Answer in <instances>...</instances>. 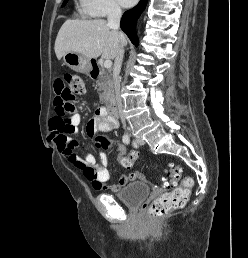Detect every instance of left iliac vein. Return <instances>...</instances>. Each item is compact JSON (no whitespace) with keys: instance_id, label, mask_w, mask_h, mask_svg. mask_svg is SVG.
I'll use <instances>...</instances> for the list:
<instances>
[{"instance_id":"4c4485c4","label":"left iliac vein","mask_w":248,"mask_h":258,"mask_svg":"<svg viewBox=\"0 0 248 258\" xmlns=\"http://www.w3.org/2000/svg\"><path fill=\"white\" fill-rule=\"evenodd\" d=\"M136 143L138 144V145H140V146H142V145H144L145 144V142H144V140L141 138V137H136Z\"/></svg>"}]
</instances>
